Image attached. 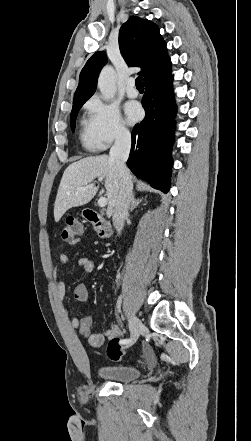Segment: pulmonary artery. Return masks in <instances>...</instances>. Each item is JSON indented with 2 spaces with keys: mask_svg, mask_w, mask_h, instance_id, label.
<instances>
[{
  "mask_svg": "<svg viewBox=\"0 0 251 441\" xmlns=\"http://www.w3.org/2000/svg\"><path fill=\"white\" fill-rule=\"evenodd\" d=\"M126 93L131 98H135L138 96V90L135 86V80L133 78H130L127 81Z\"/></svg>",
  "mask_w": 251,
  "mask_h": 441,
  "instance_id": "e3ab8cb5",
  "label": "pulmonary artery"
}]
</instances>
